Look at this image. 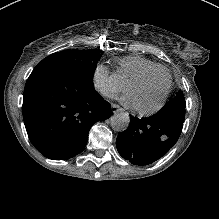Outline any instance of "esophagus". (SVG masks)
<instances>
[{
  "label": "esophagus",
  "mask_w": 219,
  "mask_h": 219,
  "mask_svg": "<svg viewBox=\"0 0 219 219\" xmlns=\"http://www.w3.org/2000/svg\"><path fill=\"white\" fill-rule=\"evenodd\" d=\"M111 110L113 113L121 110V107L119 105H116V104H111Z\"/></svg>",
  "instance_id": "1"
}]
</instances>
